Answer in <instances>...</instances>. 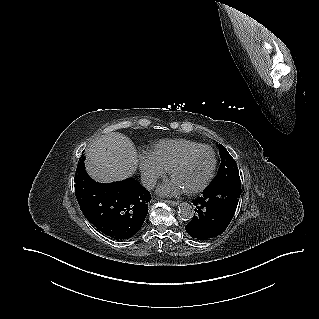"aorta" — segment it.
I'll return each instance as SVG.
<instances>
[{"label":"aorta","mask_w":319,"mask_h":319,"mask_svg":"<svg viewBox=\"0 0 319 319\" xmlns=\"http://www.w3.org/2000/svg\"><path fill=\"white\" fill-rule=\"evenodd\" d=\"M194 215V208L187 202H182L178 206V216L182 220H190Z\"/></svg>","instance_id":"aorta-1"}]
</instances>
